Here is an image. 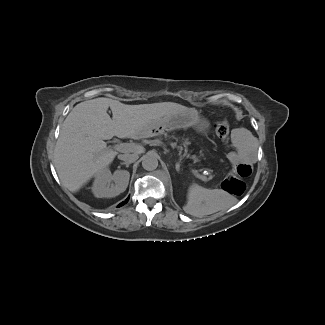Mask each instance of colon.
<instances>
[{
  "mask_svg": "<svg viewBox=\"0 0 325 325\" xmlns=\"http://www.w3.org/2000/svg\"><path fill=\"white\" fill-rule=\"evenodd\" d=\"M215 131L217 136L223 142H227L229 140L230 130L226 122H217L215 124ZM250 173V166L246 164L236 166L223 180L221 184L222 189L234 195H241L246 187L244 178L249 176Z\"/></svg>",
  "mask_w": 325,
  "mask_h": 325,
  "instance_id": "obj_1",
  "label": "colon"
}]
</instances>
